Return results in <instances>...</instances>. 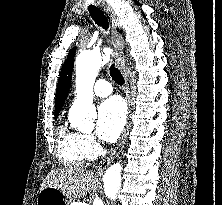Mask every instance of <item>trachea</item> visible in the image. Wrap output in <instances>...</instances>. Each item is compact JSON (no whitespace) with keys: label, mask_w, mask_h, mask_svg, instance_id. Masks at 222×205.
<instances>
[{"label":"trachea","mask_w":222,"mask_h":205,"mask_svg":"<svg viewBox=\"0 0 222 205\" xmlns=\"http://www.w3.org/2000/svg\"><path fill=\"white\" fill-rule=\"evenodd\" d=\"M88 11L90 13V16L98 26L102 27L105 30L108 29L109 27L108 19L99 8L92 6L88 8ZM110 76L118 85L124 84V78L121 72L115 67L114 64H112L110 67Z\"/></svg>","instance_id":"1"}]
</instances>
